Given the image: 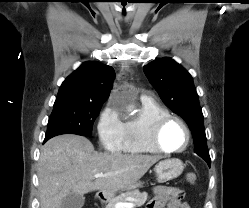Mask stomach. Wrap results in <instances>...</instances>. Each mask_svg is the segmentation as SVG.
I'll return each instance as SVG.
<instances>
[{
	"instance_id": "0dacf381",
	"label": "stomach",
	"mask_w": 249,
	"mask_h": 208,
	"mask_svg": "<svg viewBox=\"0 0 249 208\" xmlns=\"http://www.w3.org/2000/svg\"><path fill=\"white\" fill-rule=\"evenodd\" d=\"M183 169H184V165L180 159L171 158V159H164L160 161L155 166L154 171H155L158 182L163 183V182L175 179L178 176H180ZM140 186L141 184L136 183L135 185H133L127 190L135 189ZM103 195L106 199L109 200L114 197L115 192H106V193H103Z\"/></svg>"
}]
</instances>
